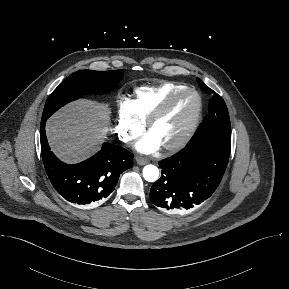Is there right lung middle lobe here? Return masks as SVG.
Masks as SVG:
<instances>
[{
  "instance_id": "obj_1",
  "label": "right lung middle lobe",
  "mask_w": 289,
  "mask_h": 289,
  "mask_svg": "<svg viewBox=\"0 0 289 289\" xmlns=\"http://www.w3.org/2000/svg\"><path fill=\"white\" fill-rule=\"evenodd\" d=\"M123 76V70L114 71H77L66 80L48 97L42 120H47L63 105L89 93H103L112 90Z\"/></svg>"
}]
</instances>
